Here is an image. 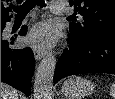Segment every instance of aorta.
Segmentation results:
<instances>
[{"label":"aorta","instance_id":"obj_1","mask_svg":"<svg viewBox=\"0 0 115 99\" xmlns=\"http://www.w3.org/2000/svg\"><path fill=\"white\" fill-rule=\"evenodd\" d=\"M56 59L52 53L40 62L35 75L34 99H51Z\"/></svg>","mask_w":115,"mask_h":99}]
</instances>
